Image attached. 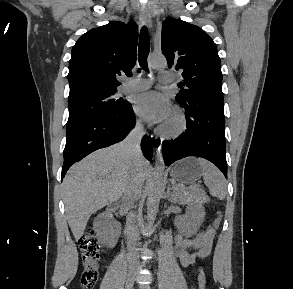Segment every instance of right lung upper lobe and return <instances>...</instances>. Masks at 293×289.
Listing matches in <instances>:
<instances>
[{"instance_id": "right-lung-upper-lobe-1", "label": "right lung upper lobe", "mask_w": 293, "mask_h": 289, "mask_svg": "<svg viewBox=\"0 0 293 289\" xmlns=\"http://www.w3.org/2000/svg\"><path fill=\"white\" fill-rule=\"evenodd\" d=\"M136 23L113 21L83 34L69 61V101L117 92L119 76H131L137 55Z\"/></svg>"}]
</instances>
